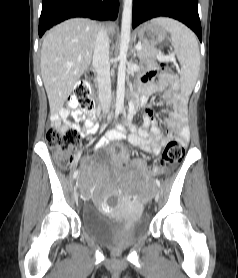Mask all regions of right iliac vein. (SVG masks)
I'll return each mask as SVG.
<instances>
[{"mask_svg":"<svg viewBox=\"0 0 238 278\" xmlns=\"http://www.w3.org/2000/svg\"><path fill=\"white\" fill-rule=\"evenodd\" d=\"M73 189H74L73 195H77L76 186H73ZM74 202H78V199H74Z\"/></svg>","mask_w":238,"mask_h":278,"instance_id":"right-iliac-vein-1","label":"right iliac vein"}]
</instances>
